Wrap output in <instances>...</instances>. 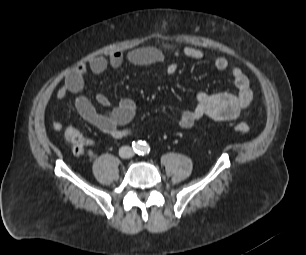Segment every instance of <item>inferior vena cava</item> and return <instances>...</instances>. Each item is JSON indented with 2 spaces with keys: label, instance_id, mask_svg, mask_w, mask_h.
Segmentation results:
<instances>
[{
  "label": "inferior vena cava",
  "instance_id": "obj_1",
  "mask_svg": "<svg viewBox=\"0 0 306 255\" xmlns=\"http://www.w3.org/2000/svg\"><path fill=\"white\" fill-rule=\"evenodd\" d=\"M134 155V151L129 146H122L119 149V156L121 158H131Z\"/></svg>",
  "mask_w": 306,
  "mask_h": 255
}]
</instances>
